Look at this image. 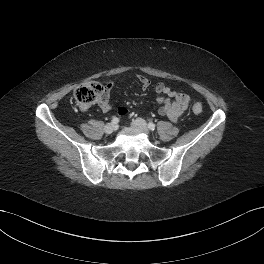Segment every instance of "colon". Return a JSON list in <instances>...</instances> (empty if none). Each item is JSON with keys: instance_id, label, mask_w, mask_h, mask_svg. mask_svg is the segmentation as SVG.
<instances>
[{"instance_id": "obj_1", "label": "colon", "mask_w": 264, "mask_h": 264, "mask_svg": "<svg viewBox=\"0 0 264 264\" xmlns=\"http://www.w3.org/2000/svg\"><path fill=\"white\" fill-rule=\"evenodd\" d=\"M105 93L106 87L104 85L96 81H90L75 89L74 98L81 107L88 108L92 104L99 102ZM192 109L196 114H200L203 110L200 103H195Z\"/></svg>"}]
</instances>
